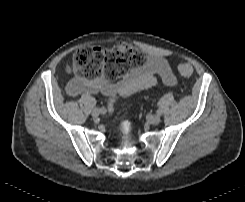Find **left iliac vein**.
Here are the masks:
<instances>
[{"mask_svg":"<svg viewBox=\"0 0 245 202\" xmlns=\"http://www.w3.org/2000/svg\"><path fill=\"white\" fill-rule=\"evenodd\" d=\"M161 118L159 115H153L150 119H149V123L152 125H157L160 122Z\"/></svg>","mask_w":245,"mask_h":202,"instance_id":"left-iliac-vein-1","label":"left iliac vein"}]
</instances>
